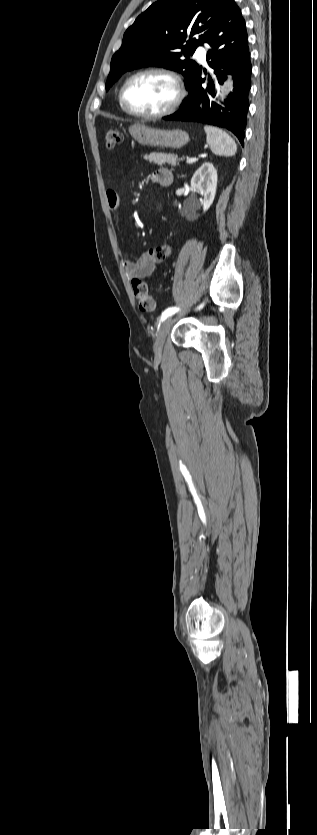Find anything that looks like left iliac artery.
<instances>
[{
	"instance_id": "44dca946",
	"label": "left iliac artery",
	"mask_w": 317,
	"mask_h": 835,
	"mask_svg": "<svg viewBox=\"0 0 317 835\" xmlns=\"http://www.w3.org/2000/svg\"><path fill=\"white\" fill-rule=\"evenodd\" d=\"M200 307H202V306H200ZM178 310H179V308H177V307L167 308L166 310L163 311V313L161 315V318H160V321H164L165 319H167L168 317H170L174 313H176Z\"/></svg>"
}]
</instances>
